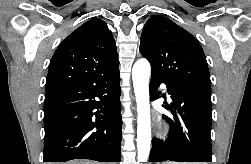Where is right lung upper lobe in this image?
Wrapping results in <instances>:
<instances>
[{"label": "right lung upper lobe", "instance_id": "right-lung-upper-lobe-1", "mask_svg": "<svg viewBox=\"0 0 251 164\" xmlns=\"http://www.w3.org/2000/svg\"><path fill=\"white\" fill-rule=\"evenodd\" d=\"M118 65L111 31L101 19H91L58 46L49 65L46 91L108 73Z\"/></svg>", "mask_w": 251, "mask_h": 164}]
</instances>
